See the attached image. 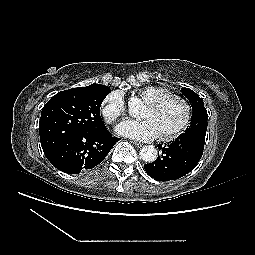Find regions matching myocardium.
Wrapping results in <instances>:
<instances>
[{
	"label": "myocardium",
	"instance_id": "obj_1",
	"mask_svg": "<svg viewBox=\"0 0 255 255\" xmlns=\"http://www.w3.org/2000/svg\"><path fill=\"white\" fill-rule=\"evenodd\" d=\"M149 104L157 109L162 108L169 104H177L182 108L184 112L182 122L177 127L161 134L160 138L162 140H171L181 135L189 128L193 118V109L190 103L183 97L175 94H170L166 97H162L155 101L149 102Z\"/></svg>",
	"mask_w": 255,
	"mask_h": 255
}]
</instances>
